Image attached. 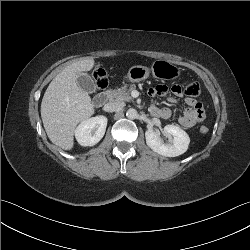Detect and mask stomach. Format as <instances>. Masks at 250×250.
Instances as JSON below:
<instances>
[{"mask_svg":"<svg viewBox=\"0 0 250 250\" xmlns=\"http://www.w3.org/2000/svg\"><path fill=\"white\" fill-rule=\"evenodd\" d=\"M150 72L159 80H174L181 74V68L166 60H155L151 70L142 65L132 66L127 73V80L132 83H138L146 80Z\"/></svg>","mask_w":250,"mask_h":250,"instance_id":"0dacf381","label":"stomach"}]
</instances>
